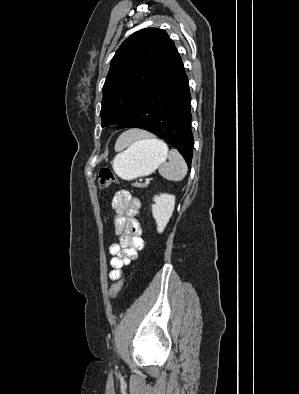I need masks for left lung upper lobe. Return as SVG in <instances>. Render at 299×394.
Returning a JSON list of instances; mask_svg holds the SVG:
<instances>
[{
	"label": "left lung upper lobe",
	"mask_w": 299,
	"mask_h": 394,
	"mask_svg": "<svg viewBox=\"0 0 299 394\" xmlns=\"http://www.w3.org/2000/svg\"><path fill=\"white\" fill-rule=\"evenodd\" d=\"M178 57L164 30L146 28L128 37L113 56L103 86L102 127L123 122L152 82Z\"/></svg>",
	"instance_id": "obj_1"
}]
</instances>
